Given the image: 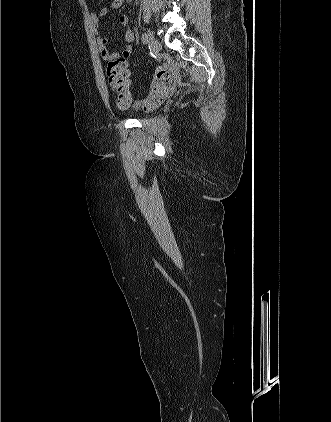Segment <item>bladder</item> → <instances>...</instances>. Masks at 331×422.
Returning a JSON list of instances; mask_svg holds the SVG:
<instances>
[{
	"mask_svg": "<svg viewBox=\"0 0 331 422\" xmlns=\"http://www.w3.org/2000/svg\"><path fill=\"white\" fill-rule=\"evenodd\" d=\"M154 108H155V107H153V108H151V109H148V110L146 111V113H150V112H152V111L154 110Z\"/></svg>",
	"mask_w": 331,
	"mask_h": 422,
	"instance_id": "1",
	"label": "bladder"
}]
</instances>
